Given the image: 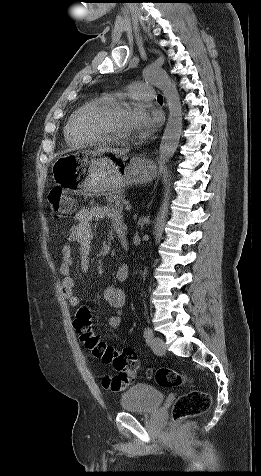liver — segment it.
I'll return each instance as SVG.
<instances>
[{"label":"liver","instance_id":"6515ba94","mask_svg":"<svg viewBox=\"0 0 261 476\" xmlns=\"http://www.w3.org/2000/svg\"><path fill=\"white\" fill-rule=\"evenodd\" d=\"M97 153H102V152H111V153H114L116 155H124L126 154V151L125 150H118V149H109V148H100L96 151Z\"/></svg>","mask_w":261,"mask_h":476}]
</instances>
